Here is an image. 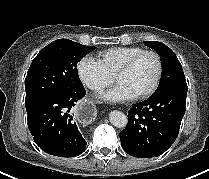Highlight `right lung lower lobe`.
I'll use <instances>...</instances> for the list:
<instances>
[{
  "mask_svg": "<svg viewBox=\"0 0 209 179\" xmlns=\"http://www.w3.org/2000/svg\"><path fill=\"white\" fill-rule=\"evenodd\" d=\"M84 96V88L56 94L27 112L30 133L43 151L59 157H75L85 151L87 142L72 114L75 102Z\"/></svg>",
  "mask_w": 209,
  "mask_h": 179,
  "instance_id": "right-lung-lower-lobe-1",
  "label": "right lung lower lobe"
}]
</instances>
